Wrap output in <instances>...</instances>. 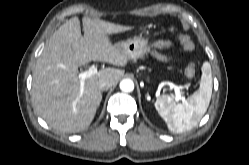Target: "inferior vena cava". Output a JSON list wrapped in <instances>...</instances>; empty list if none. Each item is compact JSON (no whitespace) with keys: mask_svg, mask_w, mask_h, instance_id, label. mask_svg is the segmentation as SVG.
<instances>
[{"mask_svg":"<svg viewBox=\"0 0 249 165\" xmlns=\"http://www.w3.org/2000/svg\"><path fill=\"white\" fill-rule=\"evenodd\" d=\"M112 86V82L109 80H102L99 83L100 90H108Z\"/></svg>","mask_w":249,"mask_h":165,"instance_id":"obj_1","label":"inferior vena cava"}]
</instances>
